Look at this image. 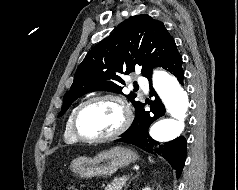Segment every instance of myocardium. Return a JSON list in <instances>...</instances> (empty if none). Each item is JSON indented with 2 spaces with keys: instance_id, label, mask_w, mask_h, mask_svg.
Here are the masks:
<instances>
[{
  "instance_id": "1",
  "label": "myocardium",
  "mask_w": 238,
  "mask_h": 190,
  "mask_svg": "<svg viewBox=\"0 0 238 190\" xmlns=\"http://www.w3.org/2000/svg\"><path fill=\"white\" fill-rule=\"evenodd\" d=\"M103 100L113 101L120 107L122 111V115H123V119L120 126L112 133L104 135V136L89 137V136L83 135L80 132L78 127V119L81 112L91 103L96 101H103ZM132 119H133L132 110L129 104L127 103V101L122 96L113 94V93L100 94V95H95L88 98L87 100L83 101L81 104L77 106L72 116V130L76 138L83 142H88V143L105 142V141L113 140L117 138L118 136H120L121 134H123L131 125Z\"/></svg>"
}]
</instances>
